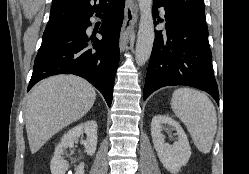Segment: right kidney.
I'll list each match as a JSON object with an SVG mask.
<instances>
[{"label":"right kidney","instance_id":"obj_1","mask_svg":"<svg viewBox=\"0 0 249 174\" xmlns=\"http://www.w3.org/2000/svg\"><path fill=\"white\" fill-rule=\"evenodd\" d=\"M86 134V140L83 141L85 151L92 156L97 147V123L95 121H87L70 129L56 146L54 156L51 159L50 169L52 174H65L68 170V163L62 157L65 149L72 148L74 142ZM75 174H84V163L78 165Z\"/></svg>","mask_w":249,"mask_h":174}]
</instances>
